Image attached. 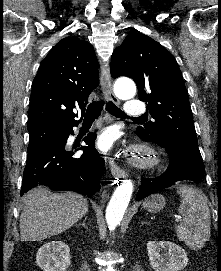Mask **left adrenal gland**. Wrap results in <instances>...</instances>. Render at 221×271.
<instances>
[{"instance_id":"obj_1","label":"left adrenal gland","mask_w":221,"mask_h":271,"mask_svg":"<svg viewBox=\"0 0 221 271\" xmlns=\"http://www.w3.org/2000/svg\"><path fill=\"white\" fill-rule=\"evenodd\" d=\"M141 223H142V225H143V223H146V221H141Z\"/></svg>"}]
</instances>
